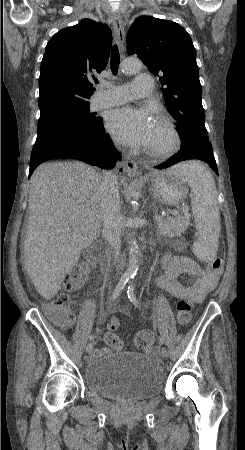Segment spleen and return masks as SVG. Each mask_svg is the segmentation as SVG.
Wrapping results in <instances>:
<instances>
[{
    "mask_svg": "<svg viewBox=\"0 0 245 450\" xmlns=\"http://www.w3.org/2000/svg\"><path fill=\"white\" fill-rule=\"evenodd\" d=\"M191 187V207L198 231L194 254L202 261L212 260L218 250L221 229L218 193L211 172L199 161H187L170 169Z\"/></svg>",
    "mask_w": 245,
    "mask_h": 450,
    "instance_id": "spleen-1",
    "label": "spleen"
}]
</instances>
